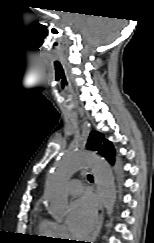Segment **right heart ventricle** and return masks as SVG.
Returning a JSON list of instances; mask_svg holds the SVG:
<instances>
[{
  "label": "right heart ventricle",
  "instance_id": "1",
  "mask_svg": "<svg viewBox=\"0 0 154 243\" xmlns=\"http://www.w3.org/2000/svg\"><path fill=\"white\" fill-rule=\"evenodd\" d=\"M38 233L41 235L47 237V238H54L56 237L54 222L45 219L40 218L39 224H38Z\"/></svg>",
  "mask_w": 154,
  "mask_h": 243
}]
</instances>
